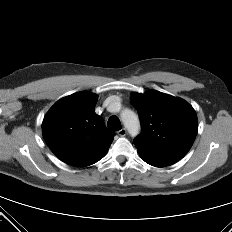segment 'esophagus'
<instances>
[{
    "mask_svg": "<svg viewBox=\"0 0 232 232\" xmlns=\"http://www.w3.org/2000/svg\"><path fill=\"white\" fill-rule=\"evenodd\" d=\"M117 133L119 136L124 137L126 135L127 131L125 128H122Z\"/></svg>",
    "mask_w": 232,
    "mask_h": 232,
    "instance_id": "obj_1",
    "label": "esophagus"
}]
</instances>
